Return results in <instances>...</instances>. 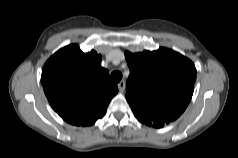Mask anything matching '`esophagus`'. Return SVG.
I'll return each instance as SVG.
<instances>
[{
	"label": "esophagus",
	"instance_id": "esophagus-1",
	"mask_svg": "<svg viewBox=\"0 0 238 158\" xmlns=\"http://www.w3.org/2000/svg\"><path fill=\"white\" fill-rule=\"evenodd\" d=\"M125 85H126V83H125L124 80L120 81V82L118 83V89H119L121 92H123V91L125 90Z\"/></svg>",
	"mask_w": 238,
	"mask_h": 158
}]
</instances>
